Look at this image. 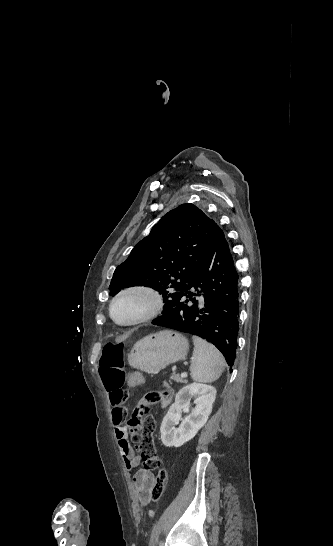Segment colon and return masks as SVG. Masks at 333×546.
Listing matches in <instances>:
<instances>
[{"label":"colon","mask_w":333,"mask_h":546,"mask_svg":"<svg viewBox=\"0 0 333 546\" xmlns=\"http://www.w3.org/2000/svg\"><path fill=\"white\" fill-rule=\"evenodd\" d=\"M125 373L123 345L119 342L107 343L99 359V374L105 389L108 392L120 391L126 381ZM170 397L171 391L168 388L149 392L145 400L135 406L127 421L130 440L134 448L142 452L144 469L157 472L156 481L149 495L152 501L162 496L167 472L157 452L154 440L156 421L150 413L149 404H155ZM118 401L120 399H115V402Z\"/></svg>","instance_id":"5ec220e1"}]
</instances>
